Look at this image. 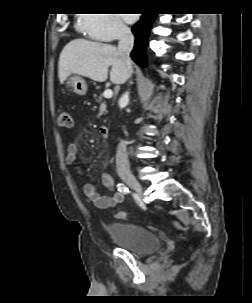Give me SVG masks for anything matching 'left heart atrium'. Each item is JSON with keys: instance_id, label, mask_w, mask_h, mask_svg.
Here are the masks:
<instances>
[{"instance_id": "39dd6f15", "label": "left heart atrium", "mask_w": 252, "mask_h": 303, "mask_svg": "<svg viewBox=\"0 0 252 303\" xmlns=\"http://www.w3.org/2000/svg\"><path fill=\"white\" fill-rule=\"evenodd\" d=\"M123 17L129 23H132L136 20V15L135 14H123Z\"/></svg>"}]
</instances>
